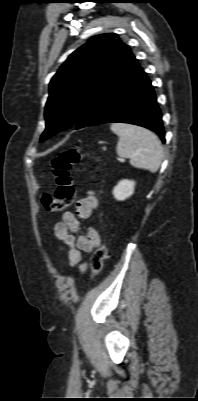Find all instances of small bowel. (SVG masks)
<instances>
[{"instance_id":"obj_1","label":"small bowel","mask_w":198,"mask_h":401,"mask_svg":"<svg viewBox=\"0 0 198 401\" xmlns=\"http://www.w3.org/2000/svg\"><path fill=\"white\" fill-rule=\"evenodd\" d=\"M98 200L93 192L77 201L74 211H66L62 218L54 226L56 238L68 247L66 257L68 264L72 267L78 266L82 271L86 264L82 261V254L89 253L101 244V236L94 227H88L84 234L80 233L79 220L88 219L97 209Z\"/></svg>"}]
</instances>
